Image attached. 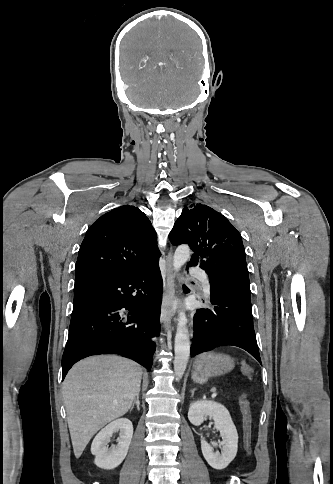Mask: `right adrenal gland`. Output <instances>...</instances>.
I'll use <instances>...</instances> for the list:
<instances>
[{"instance_id":"2a0ac1e0","label":"right adrenal gland","mask_w":333,"mask_h":484,"mask_svg":"<svg viewBox=\"0 0 333 484\" xmlns=\"http://www.w3.org/2000/svg\"><path fill=\"white\" fill-rule=\"evenodd\" d=\"M139 393H140V391L137 393L136 398L134 399V401H133V403H132V406H131V408H130V411H132V410H133V408H134V405H135V404H136V406H137V409H138V410H140Z\"/></svg>"}]
</instances>
